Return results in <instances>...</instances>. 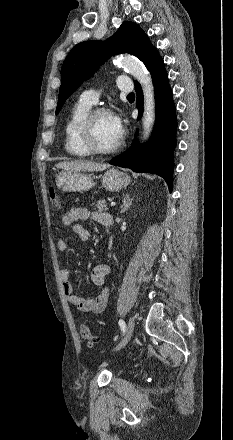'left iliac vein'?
Masks as SVG:
<instances>
[{
  "mask_svg": "<svg viewBox=\"0 0 233 440\" xmlns=\"http://www.w3.org/2000/svg\"><path fill=\"white\" fill-rule=\"evenodd\" d=\"M134 325H135L134 317H130L127 325L126 335L123 338V340L113 349L114 351L120 350L128 343V341L132 336Z\"/></svg>",
  "mask_w": 233,
  "mask_h": 440,
  "instance_id": "obj_1",
  "label": "left iliac vein"
}]
</instances>
